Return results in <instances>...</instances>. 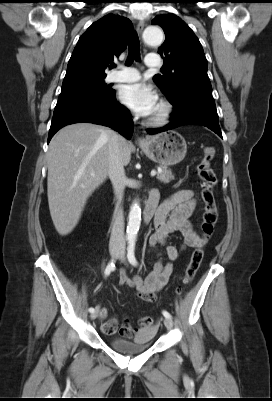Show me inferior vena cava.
Listing matches in <instances>:
<instances>
[{"label": "inferior vena cava", "instance_id": "inferior-vena-cava-1", "mask_svg": "<svg viewBox=\"0 0 272 401\" xmlns=\"http://www.w3.org/2000/svg\"><path fill=\"white\" fill-rule=\"evenodd\" d=\"M108 176L113 185L114 194L116 198L115 216L111 228L110 244L123 246L125 244L124 239V215L122 208V200L124 196V190L126 187V175L124 165L121 157L120 150V136L117 133H113L109 142V168Z\"/></svg>", "mask_w": 272, "mask_h": 401}]
</instances>
